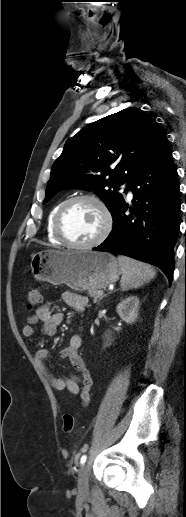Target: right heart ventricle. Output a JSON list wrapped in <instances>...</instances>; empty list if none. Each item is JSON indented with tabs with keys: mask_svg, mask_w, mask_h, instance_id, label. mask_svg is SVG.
I'll list each match as a JSON object with an SVG mask.
<instances>
[{
	"mask_svg": "<svg viewBox=\"0 0 186 517\" xmlns=\"http://www.w3.org/2000/svg\"><path fill=\"white\" fill-rule=\"evenodd\" d=\"M65 201H60L59 203H57L49 212L48 214V217H47V221H46V232H47V238L48 240L52 243V244H55V245H61L63 244L58 238L57 236L55 235V232H54V219H55V216H56V213L57 211L59 210L60 206L64 203Z\"/></svg>",
	"mask_w": 186,
	"mask_h": 517,
	"instance_id": "e07e8e85",
	"label": "right heart ventricle"
}]
</instances>
